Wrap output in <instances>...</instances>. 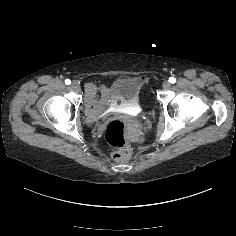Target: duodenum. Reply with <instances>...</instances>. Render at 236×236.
<instances>
[{
	"label": "duodenum",
	"mask_w": 236,
	"mask_h": 236,
	"mask_svg": "<svg viewBox=\"0 0 236 236\" xmlns=\"http://www.w3.org/2000/svg\"><path fill=\"white\" fill-rule=\"evenodd\" d=\"M101 91V90H100ZM107 99L106 93L101 91V97L98 98L96 89L91 88L87 93V114L93 118L100 115L105 109Z\"/></svg>",
	"instance_id": "1"
}]
</instances>
